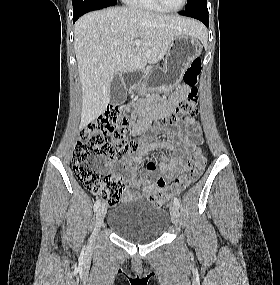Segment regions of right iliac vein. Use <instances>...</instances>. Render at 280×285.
<instances>
[{"mask_svg": "<svg viewBox=\"0 0 280 285\" xmlns=\"http://www.w3.org/2000/svg\"><path fill=\"white\" fill-rule=\"evenodd\" d=\"M107 207L105 204H102L99 206L97 213H96V222H95V227L92 233L91 237V243L93 244L95 242V239L97 237V234L103 224L105 215H106Z\"/></svg>", "mask_w": 280, "mask_h": 285, "instance_id": "right-iliac-vein-1", "label": "right iliac vein"}]
</instances>
